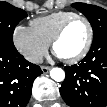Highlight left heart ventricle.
<instances>
[{
    "mask_svg": "<svg viewBox=\"0 0 107 107\" xmlns=\"http://www.w3.org/2000/svg\"><path fill=\"white\" fill-rule=\"evenodd\" d=\"M87 38L88 29L86 24L82 20H75L56 44L55 53L62 59L71 58L83 49Z\"/></svg>",
    "mask_w": 107,
    "mask_h": 107,
    "instance_id": "left-heart-ventricle-1",
    "label": "left heart ventricle"
}]
</instances>
